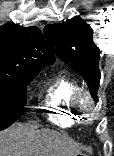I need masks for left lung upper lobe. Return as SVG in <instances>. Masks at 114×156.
<instances>
[{
  "label": "left lung upper lobe",
  "mask_w": 114,
  "mask_h": 156,
  "mask_svg": "<svg viewBox=\"0 0 114 156\" xmlns=\"http://www.w3.org/2000/svg\"><path fill=\"white\" fill-rule=\"evenodd\" d=\"M44 35L57 56L84 77L97 101L100 51L93 42L91 27L75 16L63 23L46 25Z\"/></svg>",
  "instance_id": "5c2ea615"
}]
</instances>
